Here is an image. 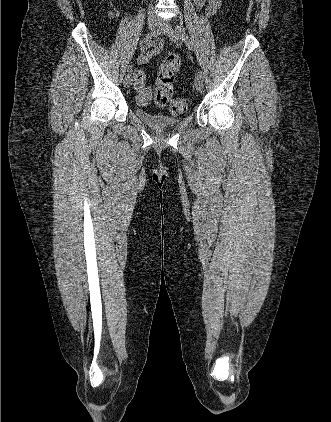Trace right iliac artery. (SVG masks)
<instances>
[{"instance_id":"82829eb1","label":"right iliac artery","mask_w":331,"mask_h":422,"mask_svg":"<svg viewBox=\"0 0 331 422\" xmlns=\"http://www.w3.org/2000/svg\"><path fill=\"white\" fill-rule=\"evenodd\" d=\"M159 30H155L153 33H151V34H147L144 38H143V40H142V42L143 43H146V42H148V41H150V39H152L153 37H155V36H157V35H159ZM132 68H133V65L132 64H130L129 66H128V68H127V72H131L132 71Z\"/></svg>"}]
</instances>
